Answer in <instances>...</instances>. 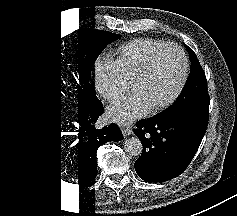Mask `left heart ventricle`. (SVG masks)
I'll return each instance as SVG.
<instances>
[{"instance_id": "left-heart-ventricle-1", "label": "left heart ventricle", "mask_w": 237, "mask_h": 216, "mask_svg": "<svg viewBox=\"0 0 237 216\" xmlns=\"http://www.w3.org/2000/svg\"><path fill=\"white\" fill-rule=\"evenodd\" d=\"M176 78L177 64L152 68L140 78L136 87V97L143 101H158L167 95Z\"/></svg>"}]
</instances>
